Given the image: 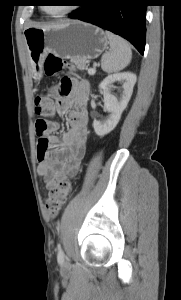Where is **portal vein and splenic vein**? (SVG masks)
<instances>
[{"mask_svg": "<svg viewBox=\"0 0 181 300\" xmlns=\"http://www.w3.org/2000/svg\"><path fill=\"white\" fill-rule=\"evenodd\" d=\"M95 72H96V69H95V68H90V69L88 70V74L91 75V76L94 75Z\"/></svg>", "mask_w": 181, "mask_h": 300, "instance_id": "portal-vein-and-splenic-vein-1", "label": "portal vein and splenic vein"}]
</instances>
